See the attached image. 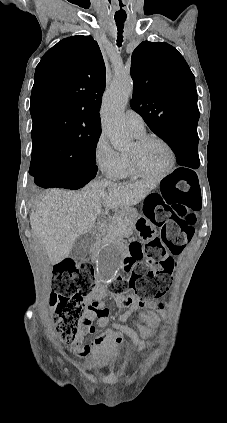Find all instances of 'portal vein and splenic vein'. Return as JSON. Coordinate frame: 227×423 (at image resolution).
<instances>
[{"instance_id":"18ae733b","label":"portal vein and splenic vein","mask_w":227,"mask_h":423,"mask_svg":"<svg viewBox=\"0 0 227 423\" xmlns=\"http://www.w3.org/2000/svg\"><path fill=\"white\" fill-rule=\"evenodd\" d=\"M116 219H121L120 215H115Z\"/></svg>"}]
</instances>
